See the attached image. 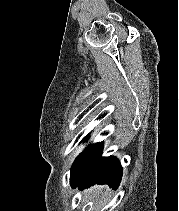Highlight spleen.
<instances>
[{
  "mask_svg": "<svg viewBox=\"0 0 179 211\" xmlns=\"http://www.w3.org/2000/svg\"><path fill=\"white\" fill-rule=\"evenodd\" d=\"M101 192V188L100 187H94L92 190V195H93V199L94 200H98L99 194Z\"/></svg>",
  "mask_w": 179,
  "mask_h": 211,
  "instance_id": "3e777b00",
  "label": "spleen"
}]
</instances>
